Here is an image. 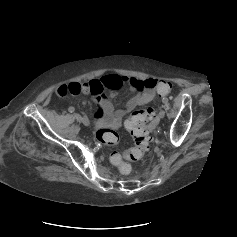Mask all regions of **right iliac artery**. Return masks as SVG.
Masks as SVG:
<instances>
[{
    "label": "right iliac artery",
    "mask_w": 237,
    "mask_h": 237,
    "mask_svg": "<svg viewBox=\"0 0 237 237\" xmlns=\"http://www.w3.org/2000/svg\"><path fill=\"white\" fill-rule=\"evenodd\" d=\"M68 111H69L70 113H73V112L75 111V108L71 106V107L68 108Z\"/></svg>",
    "instance_id": "1"
}]
</instances>
